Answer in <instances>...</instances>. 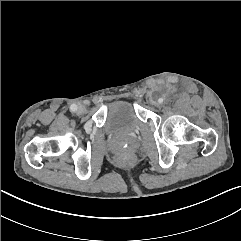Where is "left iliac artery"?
I'll return each mask as SVG.
<instances>
[{"mask_svg": "<svg viewBox=\"0 0 241 241\" xmlns=\"http://www.w3.org/2000/svg\"><path fill=\"white\" fill-rule=\"evenodd\" d=\"M158 102H159V103H163V99H162V98H159Z\"/></svg>", "mask_w": 241, "mask_h": 241, "instance_id": "44dca946", "label": "left iliac artery"}]
</instances>
